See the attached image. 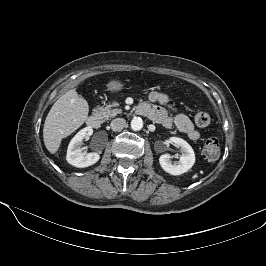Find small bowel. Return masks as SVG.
<instances>
[{"instance_id":"small-bowel-1","label":"small bowel","mask_w":266,"mask_h":266,"mask_svg":"<svg viewBox=\"0 0 266 266\" xmlns=\"http://www.w3.org/2000/svg\"><path fill=\"white\" fill-rule=\"evenodd\" d=\"M170 101L168 95L152 91L149 94V102H145L138 107V112L141 115L147 116L152 121L161 124L165 128H170L173 124L177 129L187 135L191 140H198L200 133L195 129L190 118L184 113H179L174 109V117H171L168 112L160 106H155V103L165 104Z\"/></svg>"}]
</instances>
